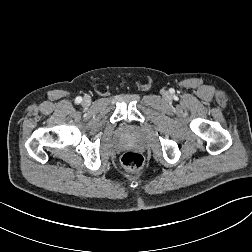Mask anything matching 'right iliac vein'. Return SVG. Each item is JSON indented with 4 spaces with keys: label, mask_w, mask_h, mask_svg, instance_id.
I'll return each mask as SVG.
<instances>
[{
    "label": "right iliac vein",
    "mask_w": 252,
    "mask_h": 252,
    "mask_svg": "<svg viewBox=\"0 0 252 252\" xmlns=\"http://www.w3.org/2000/svg\"><path fill=\"white\" fill-rule=\"evenodd\" d=\"M91 104V99L89 97H84V99L82 100V105L87 107Z\"/></svg>",
    "instance_id": "right-iliac-vein-1"
}]
</instances>
